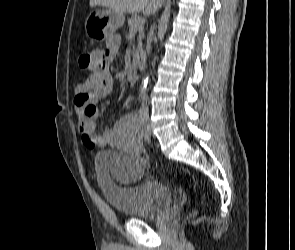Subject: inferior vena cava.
I'll return each mask as SVG.
<instances>
[{"label": "inferior vena cava", "instance_id": "602c4592", "mask_svg": "<svg viewBox=\"0 0 295 250\" xmlns=\"http://www.w3.org/2000/svg\"><path fill=\"white\" fill-rule=\"evenodd\" d=\"M154 33V27H151L150 29V40L148 42V45H147V51L149 52L151 50V36L153 35ZM143 110H144V114L145 115H148V107L145 105H143Z\"/></svg>", "mask_w": 295, "mask_h": 250}]
</instances>
